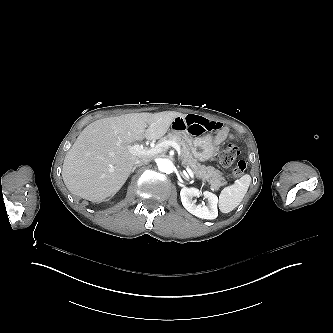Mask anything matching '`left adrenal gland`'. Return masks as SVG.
I'll list each match as a JSON object with an SVG mask.
<instances>
[{
  "label": "left adrenal gland",
  "mask_w": 333,
  "mask_h": 333,
  "mask_svg": "<svg viewBox=\"0 0 333 333\" xmlns=\"http://www.w3.org/2000/svg\"><path fill=\"white\" fill-rule=\"evenodd\" d=\"M180 175L182 176L183 179L188 180V178H186V177L184 176V174H183L182 171H180Z\"/></svg>",
  "instance_id": "a2214340"
}]
</instances>
